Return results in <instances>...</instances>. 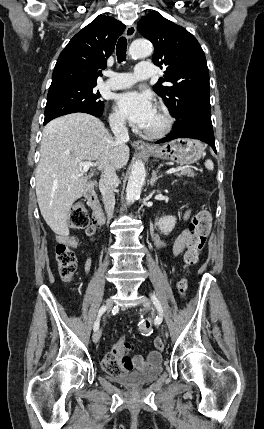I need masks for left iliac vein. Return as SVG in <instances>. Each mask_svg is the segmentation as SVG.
I'll return each instance as SVG.
<instances>
[{"label": "left iliac vein", "instance_id": "obj_1", "mask_svg": "<svg viewBox=\"0 0 264 429\" xmlns=\"http://www.w3.org/2000/svg\"><path fill=\"white\" fill-rule=\"evenodd\" d=\"M142 303H143V306L145 308L150 309L152 307L151 301L148 298H146V297L142 298ZM163 331L165 333V338H166L165 340L168 342L170 340L169 339L170 338V332H168V328L167 327H164Z\"/></svg>", "mask_w": 264, "mask_h": 429}]
</instances>
